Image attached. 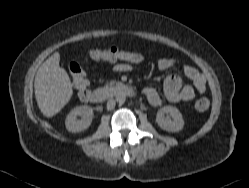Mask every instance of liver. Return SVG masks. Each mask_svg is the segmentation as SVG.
<instances>
[{"label":"liver","instance_id":"liver-1","mask_svg":"<svg viewBox=\"0 0 249 188\" xmlns=\"http://www.w3.org/2000/svg\"><path fill=\"white\" fill-rule=\"evenodd\" d=\"M59 52L53 53L38 69L34 81L38 107L46 117H53L70 101L73 89L66 70L59 65Z\"/></svg>","mask_w":249,"mask_h":188}]
</instances>
